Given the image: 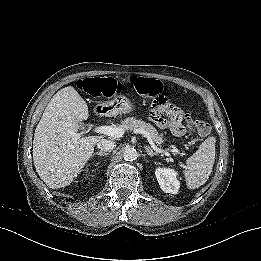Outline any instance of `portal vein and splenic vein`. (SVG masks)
Instances as JSON below:
<instances>
[{
  "instance_id": "obj_1",
  "label": "portal vein and splenic vein",
  "mask_w": 261,
  "mask_h": 261,
  "mask_svg": "<svg viewBox=\"0 0 261 261\" xmlns=\"http://www.w3.org/2000/svg\"><path fill=\"white\" fill-rule=\"evenodd\" d=\"M94 131L96 133H100V134H105V135H108V136H111V137H122V135L124 134L125 130L124 128H120V127H112V126H98L94 129ZM134 132L135 133H139V134H142L144 137L147 138V140L149 141V144L151 145V147L156 151V152H159V153H164L165 155L168 156V152L166 150H163L161 148H158L151 135L145 131L144 129H134ZM75 137L76 138H80L81 137V134L80 133H76L75 134Z\"/></svg>"
}]
</instances>
